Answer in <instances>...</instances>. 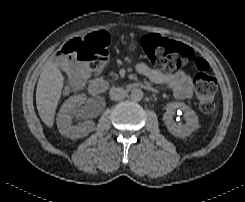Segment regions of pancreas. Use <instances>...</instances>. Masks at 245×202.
Instances as JSON below:
<instances>
[{
	"instance_id": "cf45deb5",
	"label": "pancreas",
	"mask_w": 245,
	"mask_h": 202,
	"mask_svg": "<svg viewBox=\"0 0 245 202\" xmlns=\"http://www.w3.org/2000/svg\"><path fill=\"white\" fill-rule=\"evenodd\" d=\"M111 75H112L113 77H115L116 79H118V75H117V74L112 73Z\"/></svg>"
}]
</instances>
